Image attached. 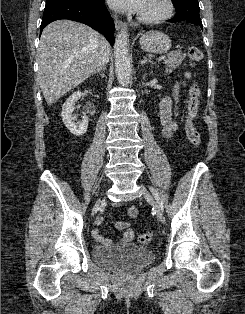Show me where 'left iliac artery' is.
I'll return each instance as SVG.
<instances>
[{"mask_svg": "<svg viewBox=\"0 0 245 314\" xmlns=\"http://www.w3.org/2000/svg\"><path fill=\"white\" fill-rule=\"evenodd\" d=\"M149 189H150L151 193L153 194V196L155 197V199L157 200L161 210L163 211V204L160 201V198H159V195H158L156 189L154 187H152V186H150Z\"/></svg>", "mask_w": 245, "mask_h": 314, "instance_id": "1", "label": "left iliac artery"}]
</instances>
